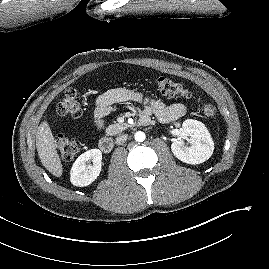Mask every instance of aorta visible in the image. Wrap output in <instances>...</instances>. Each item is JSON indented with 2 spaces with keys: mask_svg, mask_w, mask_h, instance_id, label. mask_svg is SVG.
<instances>
[{
  "mask_svg": "<svg viewBox=\"0 0 269 269\" xmlns=\"http://www.w3.org/2000/svg\"><path fill=\"white\" fill-rule=\"evenodd\" d=\"M146 136L145 133L142 131H138L135 133V140L138 142H143L145 140Z\"/></svg>",
  "mask_w": 269,
  "mask_h": 269,
  "instance_id": "1",
  "label": "aorta"
}]
</instances>
